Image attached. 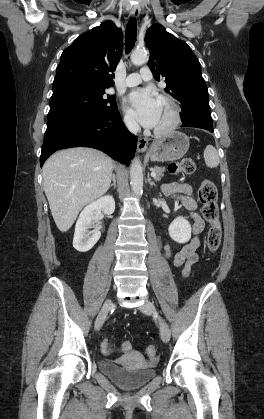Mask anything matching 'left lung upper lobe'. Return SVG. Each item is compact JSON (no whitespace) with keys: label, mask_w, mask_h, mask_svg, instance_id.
<instances>
[{"label":"left lung upper lobe","mask_w":264,"mask_h":419,"mask_svg":"<svg viewBox=\"0 0 264 419\" xmlns=\"http://www.w3.org/2000/svg\"><path fill=\"white\" fill-rule=\"evenodd\" d=\"M145 44L150 50L148 66L154 78H165L164 90L181 103L182 109L208 100L201 65L186 42L155 24L147 30Z\"/></svg>","instance_id":"5c2ea615"}]
</instances>
